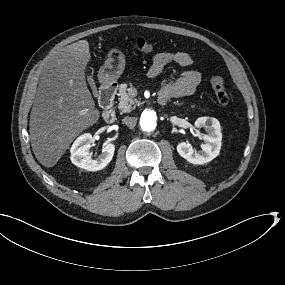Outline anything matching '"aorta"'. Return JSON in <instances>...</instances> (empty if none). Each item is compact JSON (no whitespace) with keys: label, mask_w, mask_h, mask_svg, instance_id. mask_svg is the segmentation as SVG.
I'll list each match as a JSON object with an SVG mask.
<instances>
[{"label":"aorta","mask_w":285,"mask_h":285,"mask_svg":"<svg viewBox=\"0 0 285 285\" xmlns=\"http://www.w3.org/2000/svg\"><path fill=\"white\" fill-rule=\"evenodd\" d=\"M166 122L164 112L155 106L145 108L136 118V127L143 134L160 131Z\"/></svg>","instance_id":"obj_1"}]
</instances>
